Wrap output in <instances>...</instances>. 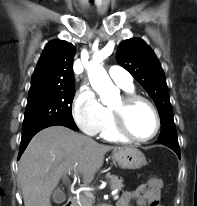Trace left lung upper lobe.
<instances>
[{
	"mask_svg": "<svg viewBox=\"0 0 197 206\" xmlns=\"http://www.w3.org/2000/svg\"><path fill=\"white\" fill-rule=\"evenodd\" d=\"M116 59L157 106L161 119L158 141H178L165 75L155 53L142 39L132 38L119 44Z\"/></svg>",
	"mask_w": 197,
	"mask_h": 206,
	"instance_id": "1",
	"label": "left lung upper lobe"
}]
</instances>
